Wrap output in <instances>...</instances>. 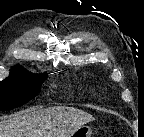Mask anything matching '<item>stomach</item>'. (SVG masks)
Returning <instances> with one entry per match:
<instances>
[{
  "label": "stomach",
  "instance_id": "obj_1",
  "mask_svg": "<svg viewBox=\"0 0 144 137\" xmlns=\"http://www.w3.org/2000/svg\"><path fill=\"white\" fill-rule=\"evenodd\" d=\"M92 129L90 126L82 125L76 128L69 137H91Z\"/></svg>",
  "mask_w": 144,
  "mask_h": 137
}]
</instances>
